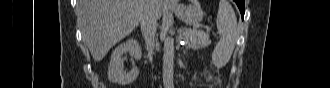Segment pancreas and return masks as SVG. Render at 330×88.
<instances>
[{
  "mask_svg": "<svg viewBox=\"0 0 330 88\" xmlns=\"http://www.w3.org/2000/svg\"><path fill=\"white\" fill-rule=\"evenodd\" d=\"M183 36L187 48L197 50L206 48L210 45V36L203 31L184 28Z\"/></svg>",
  "mask_w": 330,
  "mask_h": 88,
  "instance_id": "1",
  "label": "pancreas"
}]
</instances>
